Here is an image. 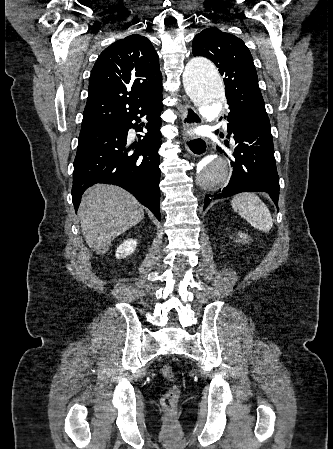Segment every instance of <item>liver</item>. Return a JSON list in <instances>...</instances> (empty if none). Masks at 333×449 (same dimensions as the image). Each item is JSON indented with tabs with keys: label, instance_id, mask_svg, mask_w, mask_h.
I'll return each mask as SVG.
<instances>
[{
	"label": "liver",
	"instance_id": "obj_1",
	"mask_svg": "<svg viewBox=\"0 0 333 449\" xmlns=\"http://www.w3.org/2000/svg\"><path fill=\"white\" fill-rule=\"evenodd\" d=\"M78 215L86 243L103 256L116 237L144 218V211L126 190L100 184L85 191Z\"/></svg>",
	"mask_w": 333,
	"mask_h": 449
}]
</instances>
